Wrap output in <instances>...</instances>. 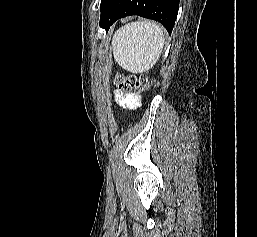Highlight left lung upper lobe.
<instances>
[{
  "instance_id": "5c2ea615",
  "label": "left lung upper lobe",
  "mask_w": 257,
  "mask_h": 237,
  "mask_svg": "<svg viewBox=\"0 0 257 237\" xmlns=\"http://www.w3.org/2000/svg\"><path fill=\"white\" fill-rule=\"evenodd\" d=\"M109 0H101V10L103 9V7L106 5V3L108 2Z\"/></svg>"
}]
</instances>
